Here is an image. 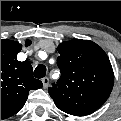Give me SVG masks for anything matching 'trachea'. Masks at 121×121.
I'll return each instance as SVG.
<instances>
[{"mask_svg":"<svg viewBox=\"0 0 121 121\" xmlns=\"http://www.w3.org/2000/svg\"><path fill=\"white\" fill-rule=\"evenodd\" d=\"M46 75V67L42 64L38 65L36 68H35V71H34V76L38 79H41L43 78L44 76Z\"/></svg>","mask_w":121,"mask_h":121,"instance_id":"3493384b","label":"trachea"}]
</instances>
